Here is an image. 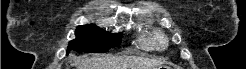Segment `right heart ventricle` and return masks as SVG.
<instances>
[{
  "label": "right heart ventricle",
  "instance_id": "obj_1",
  "mask_svg": "<svg viewBox=\"0 0 246 69\" xmlns=\"http://www.w3.org/2000/svg\"><path fill=\"white\" fill-rule=\"evenodd\" d=\"M163 41V35L157 32L152 37L141 38L138 44L141 49L149 51L154 49H160Z\"/></svg>",
  "mask_w": 246,
  "mask_h": 69
}]
</instances>
